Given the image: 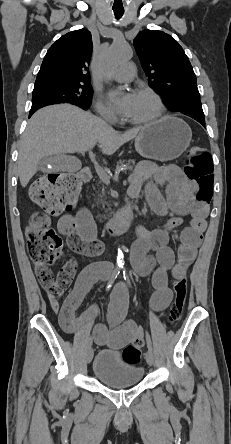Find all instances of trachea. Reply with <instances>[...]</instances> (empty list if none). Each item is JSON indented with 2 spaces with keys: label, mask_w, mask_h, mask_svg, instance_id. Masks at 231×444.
I'll use <instances>...</instances> for the list:
<instances>
[{
  "label": "trachea",
  "mask_w": 231,
  "mask_h": 444,
  "mask_svg": "<svg viewBox=\"0 0 231 444\" xmlns=\"http://www.w3.org/2000/svg\"><path fill=\"white\" fill-rule=\"evenodd\" d=\"M113 11L116 19H120L124 14V10H113Z\"/></svg>",
  "instance_id": "1"
}]
</instances>
